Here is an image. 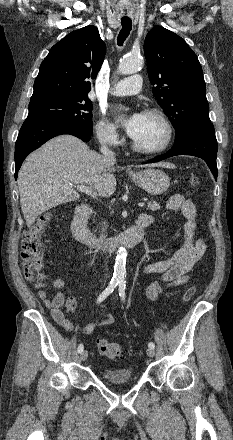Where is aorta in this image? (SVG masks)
Masks as SVG:
<instances>
[{
	"label": "aorta",
	"mask_w": 233,
	"mask_h": 440,
	"mask_svg": "<svg viewBox=\"0 0 233 440\" xmlns=\"http://www.w3.org/2000/svg\"><path fill=\"white\" fill-rule=\"evenodd\" d=\"M142 65V59L139 56H128L123 58L119 63V72L127 75L135 73ZM126 256L127 251L125 248L120 247L117 251L115 265H114V278L117 280H124L126 276Z\"/></svg>",
	"instance_id": "obj_1"
}]
</instances>
